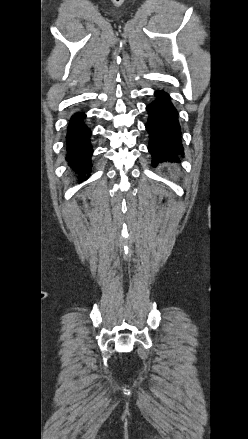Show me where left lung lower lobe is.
Listing matches in <instances>:
<instances>
[{
  "label": "left lung lower lobe",
  "mask_w": 248,
  "mask_h": 439,
  "mask_svg": "<svg viewBox=\"0 0 248 439\" xmlns=\"http://www.w3.org/2000/svg\"><path fill=\"white\" fill-rule=\"evenodd\" d=\"M155 99L147 105L149 133L148 151L152 155L153 165L168 159L179 160L184 154L178 112L171 102L169 94L163 90L156 91Z\"/></svg>",
  "instance_id": "obj_1"
}]
</instances>
